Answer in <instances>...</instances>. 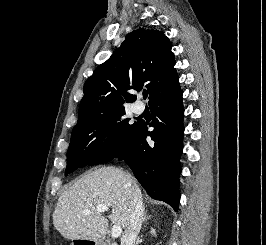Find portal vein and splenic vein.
I'll list each match as a JSON object with an SVG mask.
<instances>
[{
	"label": "portal vein and splenic vein",
	"mask_w": 266,
	"mask_h": 245,
	"mask_svg": "<svg viewBox=\"0 0 266 245\" xmlns=\"http://www.w3.org/2000/svg\"><path fill=\"white\" fill-rule=\"evenodd\" d=\"M104 211H109V207H107V205H98L97 213H104ZM84 213H89V209H84ZM121 233V227H117L116 225V227H113L111 231V237H113V239H116V237H120Z\"/></svg>",
	"instance_id": "obj_1"
}]
</instances>
